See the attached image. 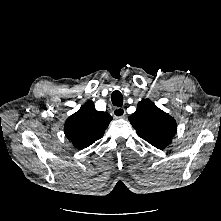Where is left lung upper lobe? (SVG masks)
<instances>
[{
    "label": "left lung upper lobe",
    "mask_w": 221,
    "mask_h": 221,
    "mask_svg": "<svg viewBox=\"0 0 221 221\" xmlns=\"http://www.w3.org/2000/svg\"><path fill=\"white\" fill-rule=\"evenodd\" d=\"M128 119L138 136L158 149L169 145L177 131L175 120L149 99L141 100Z\"/></svg>",
    "instance_id": "5c2ea615"
}]
</instances>
